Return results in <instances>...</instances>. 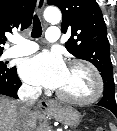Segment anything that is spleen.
<instances>
[{
  "label": "spleen",
  "instance_id": "1",
  "mask_svg": "<svg viewBox=\"0 0 117 131\" xmlns=\"http://www.w3.org/2000/svg\"><path fill=\"white\" fill-rule=\"evenodd\" d=\"M109 126L111 131H117L116 127L112 123H110Z\"/></svg>",
  "mask_w": 117,
  "mask_h": 131
}]
</instances>
